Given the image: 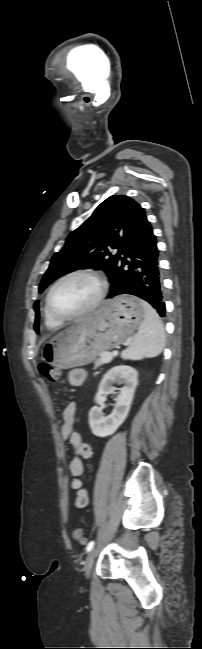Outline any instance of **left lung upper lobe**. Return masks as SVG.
<instances>
[{"instance_id":"obj_1","label":"left lung upper lobe","mask_w":202,"mask_h":649,"mask_svg":"<svg viewBox=\"0 0 202 649\" xmlns=\"http://www.w3.org/2000/svg\"><path fill=\"white\" fill-rule=\"evenodd\" d=\"M145 216L144 209L125 195H113L104 200L94 213L66 239L56 253L39 285V293L59 276L81 268H102L111 276L120 258L119 250L127 234ZM110 249H118L114 254ZM39 302L34 329L39 332Z\"/></svg>"}]
</instances>
